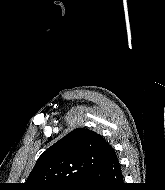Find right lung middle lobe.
I'll return each instance as SVG.
<instances>
[{
    "instance_id": "dd1d6c3e",
    "label": "right lung middle lobe",
    "mask_w": 165,
    "mask_h": 190,
    "mask_svg": "<svg viewBox=\"0 0 165 190\" xmlns=\"http://www.w3.org/2000/svg\"><path fill=\"white\" fill-rule=\"evenodd\" d=\"M81 185H82L81 181H78L72 184L51 187V188H48V190H79Z\"/></svg>"
}]
</instances>
